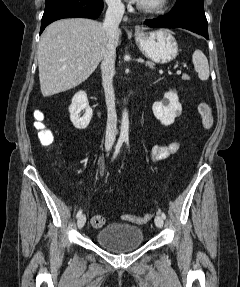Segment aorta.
<instances>
[{
	"label": "aorta",
	"mask_w": 240,
	"mask_h": 287,
	"mask_svg": "<svg viewBox=\"0 0 240 287\" xmlns=\"http://www.w3.org/2000/svg\"><path fill=\"white\" fill-rule=\"evenodd\" d=\"M129 137V115L128 111L124 109L122 112L121 127H120V139L128 140Z\"/></svg>",
	"instance_id": "aorta-1"
}]
</instances>
